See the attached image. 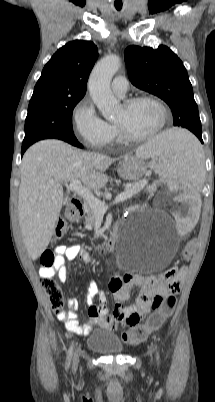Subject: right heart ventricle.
<instances>
[{
  "mask_svg": "<svg viewBox=\"0 0 215 402\" xmlns=\"http://www.w3.org/2000/svg\"><path fill=\"white\" fill-rule=\"evenodd\" d=\"M111 126H112L113 129H114V136H113V139H117V141H121L122 138L120 137V134H119V132H118V129H117L116 125L111 124Z\"/></svg>",
  "mask_w": 215,
  "mask_h": 402,
  "instance_id": "e07e8e85",
  "label": "right heart ventricle"
}]
</instances>
